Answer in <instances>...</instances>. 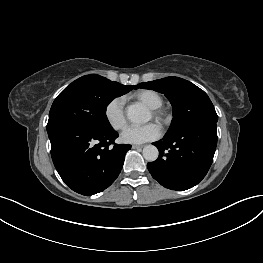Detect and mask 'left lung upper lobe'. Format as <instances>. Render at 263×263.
<instances>
[{"label": "left lung upper lobe", "mask_w": 263, "mask_h": 263, "mask_svg": "<svg viewBox=\"0 0 263 263\" xmlns=\"http://www.w3.org/2000/svg\"><path fill=\"white\" fill-rule=\"evenodd\" d=\"M137 88L153 89L165 94L173 106V120L166 134H173L184 128L210 125L218 116L207 94L193 83L178 77H167L140 83Z\"/></svg>", "instance_id": "1"}]
</instances>
